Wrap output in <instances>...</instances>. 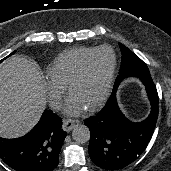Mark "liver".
<instances>
[{
	"label": "liver",
	"instance_id": "obj_1",
	"mask_svg": "<svg viewBox=\"0 0 171 171\" xmlns=\"http://www.w3.org/2000/svg\"><path fill=\"white\" fill-rule=\"evenodd\" d=\"M46 84L39 66L20 55L0 67V137L28 133L46 108Z\"/></svg>",
	"mask_w": 171,
	"mask_h": 171
}]
</instances>
